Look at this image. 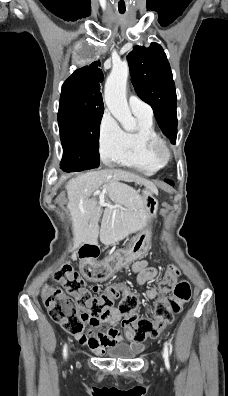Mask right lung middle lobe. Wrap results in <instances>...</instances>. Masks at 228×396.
I'll use <instances>...</instances> for the list:
<instances>
[{
    "label": "right lung middle lobe",
    "mask_w": 228,
    "mask_h": 396,
    "mask_svg": "<svg viewBox=\"0 0 228 396\" xmlns=\"http://www.w3.org/2000/svg\"><path fill=\"white\" fill-rule=\"evenodd\" d=\"M104 108L89 109L70 96L61 95L58 123L66 172L96 168L99 160V127Z\"/></svg>",
    "instance_id": "1"
}]
</instances>
